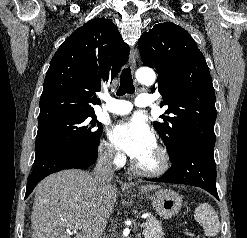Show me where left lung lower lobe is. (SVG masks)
I'll return each instance as SVG.
<instances>
[{"instance_id": "left-lung-lower-lobe-1", "label": "left lung lower lobe", "mask_w": 247, "mask_h": 238, "mask_svg": "<svg viewBox=\"0 0 247 238\" xmlns=\"http://www.w3.org/2000/svg\"><path fill=\"white\" fill-rule=\"evenodd\" d=\"M171 162V168L163 176L150 181L201 187L219 198L213 151L193 144H183L171 158Z\"/></svg>"}]
</instances>
